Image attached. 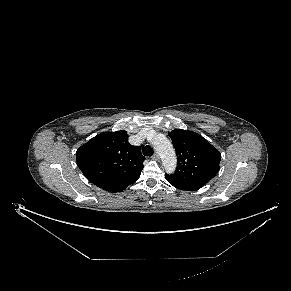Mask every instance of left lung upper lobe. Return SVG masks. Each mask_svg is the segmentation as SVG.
<instances>
[{"instance_id": "5c2ea615", "label": "left lung upper lobe", "mask_w": 291, "mask_h": 291, "mask_svg": "<svg viewBox=\"0 0 291 291\" xmlns=\"http://www.w3.org/2000/svg\"><path fill=\"white\" fill-rule=\"evenodd\" d=\"M169 136L178 155V166L166 178L176 184L203 186L218 173L221 153L204 137L183 129H175Z\"/></svg>"}]
</instances>
